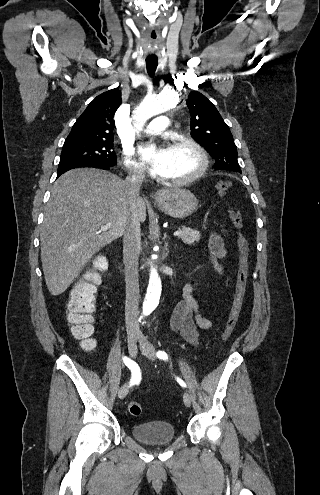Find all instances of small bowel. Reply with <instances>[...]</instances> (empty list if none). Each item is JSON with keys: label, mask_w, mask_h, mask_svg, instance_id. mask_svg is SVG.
I'll use <instances>...</instances> for the list:
<instances>
[{"label": "small bowel", "mask_w": 320, "mask_h": 495, "mask_svg": "<svg viewBox=\"0 0 320 495\" xmlns=\"http://www.w3.org/2000/svg\"><path fill=\"white\" fill-rule=\"evenodd\" d=\"M210 259L213 267L220 273L224 272L221 260L228 255V249L223 238L216 232L210 234ZM193 286L187 283L183 287V299L175 306L170 318L172 330L180 332L182 337L191 345H199V330L214 327V322L203 316L197 300L192 296Z\"/></svg>", "instance_id": "1"}]
</instances>
